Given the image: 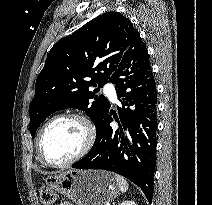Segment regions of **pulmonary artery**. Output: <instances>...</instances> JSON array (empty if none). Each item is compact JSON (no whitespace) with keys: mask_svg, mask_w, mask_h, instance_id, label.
<instances>
[{"mask_svg":"<svg viewBox=\"0 0 212 205\" xmlns=\"http://www.w3.org/2000/svg\"><path fill=\"white\" fill-rule=\"evenodd\" d=\"M104 93L112 100L116 101V91L114 86L111 83H107L104 86Z\"/></svg>","mask_w":212,"mask_h":205,"instance_id":"obj_1","label":"pulmonary artery"}]
</instances>
